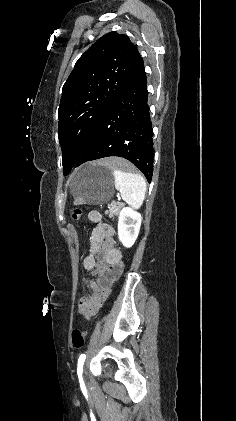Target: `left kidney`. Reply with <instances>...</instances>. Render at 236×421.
Segmentation results:
<instances>
[{"instance_id":"1","label":"left kidney","mask_w":236,"mask_h":421,"mask_svg":"<svg viewBox=\"0 0 236 421\" xmlns=\"http://www.w3.org/2000/svg\"><path fill=\"white\" fill-rule=\"evenodd\" d=\"M142 217L140 213L124 206L118 219V237L124 247L134 245L140 231Z\"/></svg>"}]
</instances>
